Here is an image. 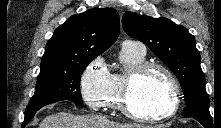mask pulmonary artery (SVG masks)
I'll return each mask as SVG.
<instances>
[{"mask_svg": "<svg viewBox=\"0 0 221 128\" xmlns=\"http://www.w3.org/2000/svg\"><path fill=\"white\" fill-rule=\"evenodd\" d=\"M123 45L133 47L136 50H138L139 52L145 53V47H144L143 43H141L140 41L126 40L123 43Z\"/></svg>", "mask_w": 221, "mask_h": 128, "instance_id": "pulmonary-artery-1", "label": "pulmonary artery"}]
</instances>
